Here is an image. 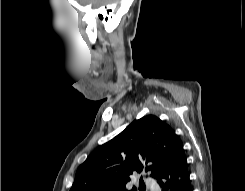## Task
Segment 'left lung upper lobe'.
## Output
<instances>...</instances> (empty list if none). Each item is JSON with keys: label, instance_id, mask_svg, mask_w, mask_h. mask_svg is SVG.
Listing matches in <instances>:
<instances>
[{"label": "left lung upper lobe", "instance_id": "1", "mask_svg": "<svg viewBox=\"0 0 245 191\" xmlns=\"http://www.w3.org/2000/svg\"><path fill=\"white\" fill-rule=\"evenodd\" d=\"M181 149V141L168 124L154 115L144 116L88 156L70 191H128L134 171L145 168L157 179Z\"/></svg>", "mask_w": 245, "mask_h": 191}]
</instances>
